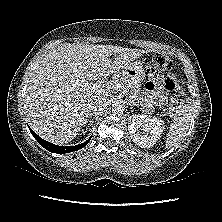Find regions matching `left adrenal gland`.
Segmentation results:
<instances>
[{
	"label": "left adrenal gland",
	"instance_id": "a2214340",
	"mask_svg": "<svg viewBox=\"0 0 222 222\" xmlns=\"http://www.w3.org/2000/svg\"><path fill=\"white\" fill-rule=\"evenodd\" d=\"M128 105H130L131 106L130 108L133 109V107H132V105L130 103Z\"/></svg>",
	"mask_w": 222,
	"mask_h": 222
}]
</instances>
